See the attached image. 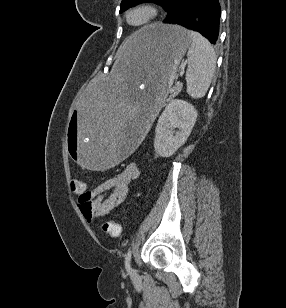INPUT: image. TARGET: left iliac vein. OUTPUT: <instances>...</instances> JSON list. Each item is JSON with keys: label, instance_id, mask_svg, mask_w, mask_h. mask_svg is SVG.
Instances as JSON below:
<instances>
[{"label": "left iliac vein", "instance_id": "obj_1", "mask_svg": "<svg viewBox=\"0 0 286 308\" xmlns=\"http://www.w3.org/2000/svg\"><path fill=\"white\" fill-rule=\"evenodd\" d=\"M132 273H135V270H132Z\"/></svg>", "mask_w": 286, "mask_h": 308}]
</instances>
